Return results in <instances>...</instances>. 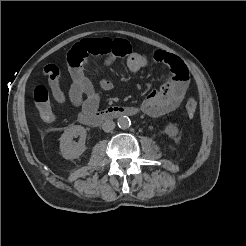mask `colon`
Returning a JSON list of instances; mask_svg holds the SVG:
<instances>
[{"label":"colon","mask_w":246,"mask_h":246,"mask_svg":"<svg viewBox=\"0 0 246 246\" xmlns=\"http://www.w3.org/2000/svg\"><path fill=\"white\" fill-rule=\"evenodd\" d=\"M34 101L40 117L48 122L56 121V116L51 109L48 90L44 86H37L34 90ZM197 102L193 96L189 97L185 103V117L192 118L196 114Z\"/></svg>","instance_id":"1"}]
</instances>
